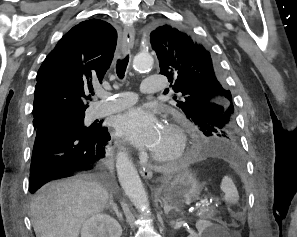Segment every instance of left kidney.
I'll list each match as a JSON object with an SVG mask.
<instances>
[{"label":"left kidney","mask_w":297,"mask_h":237,"mask_svg":"<svg viewBox=\"0 0 297 237\" xmlns=\"http://www.w3.org/2000/svg\"><path fill=\"white\" fill-rule=\"evenodd\" d=\"M196 228L198 233H192L188 237H216V226L208 220H198Z\"/></svg>","instance_id":"left-kidney-1"}]
</instances>
